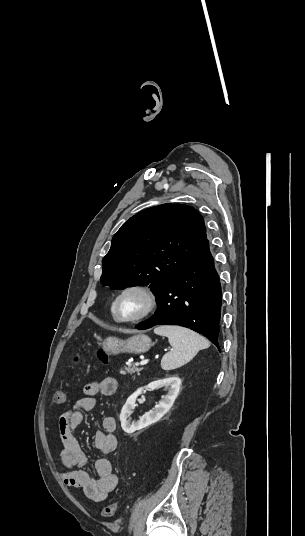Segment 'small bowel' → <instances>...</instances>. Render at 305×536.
<instances>
[{"label":"small bowel","mask_w":305,"mask_h":536,"mask_svg":"<svg viewBox=\"0 0 305 536\" xmlns=\"http://www.w3.org/2000/svg\"><path fill=\"white\" fill-rule=\"evenodd\" d=\"M116 390L117 381L113 377H104L86 384L85 396L78 399L58 420L60 457L65 467L62 479L67 486L83 489L85 495L95 502L105 500L117 487L119 478L113 470L111 461L105 457L95 462L98 478H94L85 469L86 456L74 436V430L82 422L83 412L95 407L97 395H113ZM115 427V419L106 417L102 421V429L93 435L94 446L103 455L113 453L117 447Z\"/></svg>","instance_id":"1"}]
</instances>
